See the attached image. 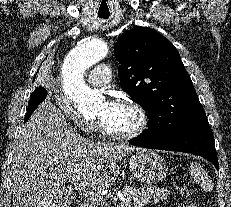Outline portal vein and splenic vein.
<instances>
[{
  "instance_id": "portal-vein-and-splenic-vein-1",
  "label": "portal vein and splenic vein",
  "mask_w": 231,
  "mask_h": 207,
  "mask_svg": "<svg viewBox=\"0 0 231 207\" xmlns=\"http://www.w3.org/2000/svg\"><path fill=\"white\" fill-rule=\"evenodd\" d=\"M80 191L85 193V196L88 197L93 202H101L104 200L103 196L98 195V194L94 193L93 191H89L86 188H81ZM117 207H131V204L127 201H123V202L117 204Z\"/></svg>"
}]
</instances>
